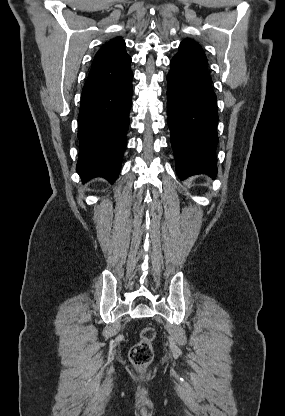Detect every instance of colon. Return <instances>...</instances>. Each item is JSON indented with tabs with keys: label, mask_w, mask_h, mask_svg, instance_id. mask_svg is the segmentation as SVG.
I'll list each match as a JSON object with an SVG mask.
<instances>
[{
	"label": "colon",
	"mask_w": 285,
	"mask_h": 416,
	"mask_svg": "<svg viewBox=\"0 0 285 416\" xmlns=\"http://www.w3.org/2000/svg\"><path fill=\"white\" fill-rule=\"evenodd\" d=\"M154 338V329L152 327H145L141 331L139 341L130 350L129 359L139 370H143L149 366L153 359L152 342Z\"/></svg>",
	"instance_id": "1"
}]
</instances>
